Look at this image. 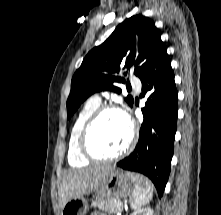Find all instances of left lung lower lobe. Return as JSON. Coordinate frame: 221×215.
<instances>
[{
  "mask_svg": "<svg viewBox=\"0 0 221 215\" xmlns=\"http://www.w3.org/2000/svg\"><path fill=\"white\" fill-rule=\"evenodd\" d=\"M140 80L141 96L147 92L150 96L142 109L139 141L117 166L149 177L161 197L170 174L178 113V92L166 47L158 52Z\"/></svg>",
  "mask_w": 221,
  "mask_h": 215,
  "instance_id": "0a47b994",
  "label": "left lung lower lobe"
}]
</instances>
